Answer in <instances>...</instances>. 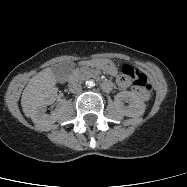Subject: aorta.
<instances>
[{
    "label": "aorta",
    "instance_id": "obj_1",
    "mask_svg": "<svg viewBox=\"0 0 187 187\" xmlns=\"http://www.w3.org/2000/svg\"><path fill=\"white\" fill-rule=\"evenodd\" d=\"M94 85H95V84H94L93 81H89V82L87 83L88 88H91V87H93Z\"/></svg>",
    "mask_w": 187,
    "mask_h": 187
}]
</instances>
